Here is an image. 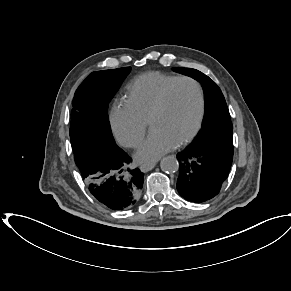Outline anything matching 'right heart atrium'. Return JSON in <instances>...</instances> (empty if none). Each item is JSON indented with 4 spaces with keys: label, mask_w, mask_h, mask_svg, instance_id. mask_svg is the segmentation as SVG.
<instances>
[{
    "label": "right heart atrium",
    "mask_w": 291,
    "mask_h": 291,
    "mask_svg": "<svg viewBox=\"0 0 291 291\" xmlns=\"http://www.w3.org/2000/svg\"><path fill=\"white\" fill-rule=\"evenodd\" d=\"M110 122L116 139L125 147H137L145 136L147 122L135 114L126 102L113 108Z\"/></svg>",
    "instance_id": "d8ad5b80"
}]
</instances>
